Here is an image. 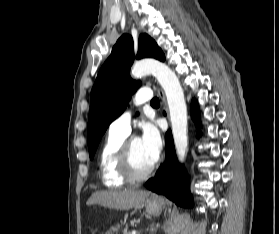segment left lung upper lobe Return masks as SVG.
Returning <instances> with one entry per match:
<instances>
[{
  "label": "left lung upper lobe",
  "mask_w": 279,
  "mask_h": 234,
  "mask_svg": "<svg viewBox=\"0 0 279 234\" xmlns=\"http://www.w3.org/2000/svg\"><path fill=\"white\" fill-rule=\"evenodd\" d=\"M146 57L165 60L156 42L143 34L139 37L136 58ZM134 58L133 39L124 34L118 39L98 73L91 91L88 118V148L91 159L109 124L123 113L131 94L140 86V82L132 80L129 74Z\"/></svg>",
  "instance_id": "1"
}]
</instances>
